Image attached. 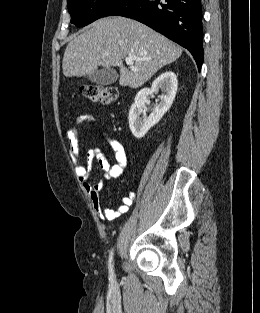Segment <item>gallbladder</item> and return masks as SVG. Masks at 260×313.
Segmentation results:
<instances>
[{
  "label": "gallbladder",
  "mask_w": 260,
  "mask_h": 313,
  "mask_svg": "<svg viewBox=\"0 0 260 313\" xmlns=\"http://www.w3.org/2000/svg\"><path fill=\"white\" fill-rule=\"evenodd\" d=\"M88 80L99 85H110L116 82L118 78L117 72L112 68H104L96 70L86 76Z\"/></svg>",
  "instance_id": "obj_1"
}]
</instances>
